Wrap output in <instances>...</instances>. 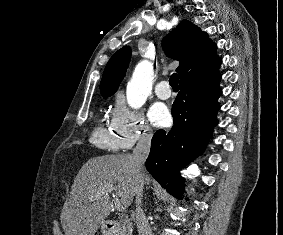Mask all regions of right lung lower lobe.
Instances as JSON below:
<instances>
[{
    "mask_svg": "<svg viewBox=\"0 0 283 235\" xmlns=\"http://www.w3.org/2000/svg\"><path fill=\"white\" fill-rule=\"evenodd\" d=\"M221 75L213 73L180 83V92L172 105L174 125L169 132L157 131L146 160L149 173L171 195L181 198L184 179L180 170L201 155L217 123Z\"/></svg>",
    "mask_w": 283,
    "mask_h": 235,
    "instance_id": "obj_1",
    "label": "right lung lower lobe"
}]
</instances>
